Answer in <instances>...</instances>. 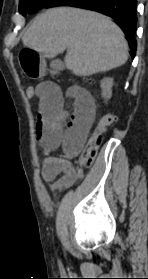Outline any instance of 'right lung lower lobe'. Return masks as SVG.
Returning a JSON list of instances; mask_svg holds the SVG:
<instances>
[{
	"instance_id": "98d812e1",
	"label": "right lung lower lobe",
	"mask_w": 148,
	"mask_h": 279,
	"mask_svg": "<svg viewBox=\"0 0 148 279\" xmlns=\"http://www.w3.org/2000/svg\"><path fill=\"white\" fill-rule=\"evenodd\" d=\"M136 0H50L44 7L73 6L103 13L115 19L130 44L131 55L136 53Z\"/></svg>"
}]
</instances>
